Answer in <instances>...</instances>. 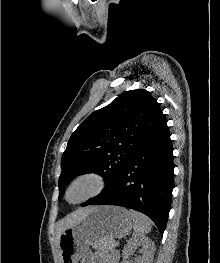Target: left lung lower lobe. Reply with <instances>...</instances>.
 <instances>
[{
    "label": "left lung lower lobe",
    "mask_w": 220,
    "mask_h": 263,
    "mask_svg": "<svg viewBox=\"0 0 220 263\" xmlns=\"http://www.w3.org/2000/svg\"><path fill=\"white\" fill-rule=\"evenodd\" d=\"M173 148L166 120L135 150L113 185L88 205L137 210L163 234L171 207Z\"/></svg>",
    "instance_id": "0a47b994"
}]
</instances>
